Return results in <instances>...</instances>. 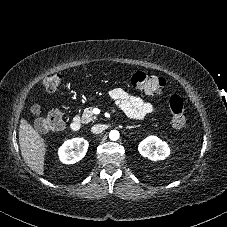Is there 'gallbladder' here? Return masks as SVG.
Instances as JSON below:
<instances>
[{
	"instance_id": "gallbladder-1",
	"label": "gallbladder",
	"mask_w": 227,
	"mask_h": 227,
	"mask_svg": "<svg viewBox=\"0 0 227 227\" xmlns=\"http://www.w3.org/2000/svg\"><path fill=\"white\" fill-rule=\"evenodd\" d=\"M36 111H38L37 107H33L32 112H36Z\"/></svg>"
}]
</instances>
